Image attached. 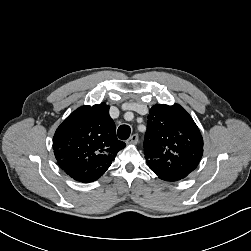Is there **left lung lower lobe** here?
<instances>
[{
	"label": "left lung lower lobe",
	"mask_w": 251,
	"mask_h": 251,
	"mask_svg": "<svg viewBox=\"0 0 251 251\" xmlns=\"http://www.w3.org/2000/svg\"><path fill=\"white\" fill-rule=\"evenodd\" d=\"M146 161L149 168L157 176H159V178L165 181H177L183 179L196 168L193 165L174 168L173 166H168L167 164L163 165L159 163L156 159H152L149 157H146Z\"/></svg>",
	"instance_id": "left-lung-lower-lobe-1"
}]
</instances>
